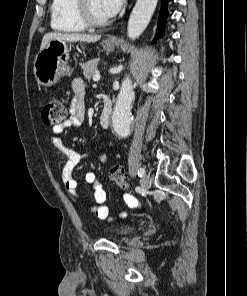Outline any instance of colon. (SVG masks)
<instances>
[{
	"label": "colon",
	"instance_id": "5ec220e1",
	"mask_svg": "<svg viewBox=\"0 0 247 296\" xmlns=\"http://www.w3.org/2000/svg\"><path fill=\"white\" fill-rule=\"evenodd\" d=\"M66 117V108L57 98L46 102L42 110V121L45 125L54 126L60 124ZM110 179L122 190H129L126 173L123 167L117 165L110 170Z\"/></svg>",
	"mask_w": 247,
	"mask_h": 296
}]
</instances>
